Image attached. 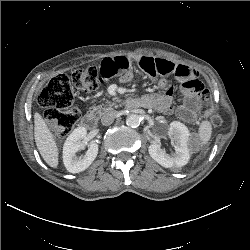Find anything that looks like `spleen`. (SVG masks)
I'll use <instances>...</instances> for the list:
<instances>
[{
    "instance_id": "3e777b00",
    "label": "spleen",
    "mask_w": 250,
    "mask_h": 250,
    "mask_svg": "<svg viewBox=\"0 0 250 250\" xmlns=\"http://www.w3.org/2000/svg\"><path fill=\"white\" fill-rule=\"evenodd\" d=\"M212 133V126L209 121H203L198 130V136L202 146L207 145Z\"/></svg>"
}]
</instances>
